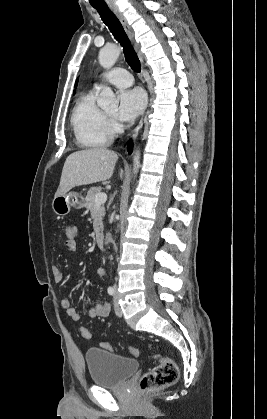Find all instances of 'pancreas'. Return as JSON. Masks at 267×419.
Returning <instances> with one entry per match:
<instances>
[{
    "mask_svg": "<svg viewBox=\"0 0 267 419\" xmlns=\"http://www.w3.org/2000/svg\"><path fill=\"white\" fill-rule=\"evenodd\" d=\"M101 193V187H91L85 198V207L91 212L93 218V228L97 236L100 235L102 230V220L105 215V208L102 205L97 207L95 202L96 195Z\"/></svg>",
    "mask_w": 267,
    "mask_h": 419,
    "instance_id": "cf45deb5",
    "label": "pancreas"
}]
</instances>
